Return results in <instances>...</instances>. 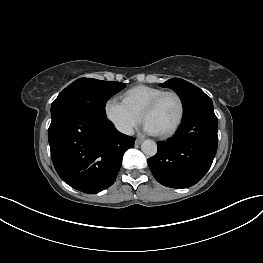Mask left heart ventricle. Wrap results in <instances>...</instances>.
Listing matches in <instances>:
<instances>
[{"label": "left heart ventricle", "mask_w": 263, "mask_h": 263, "mask_svg": "<svg viewBox=\"0 0 263 263\" xmlns=\"http://www.w3.org/2000/svg\"><path fill=\"white\" fill-rule=\"evenodd\" d=\"M180 113L178 99L174 95L165 96L158 106L146 117L149 123L158 134L170 130L176 123Z\"/></svg>", "instance_id": "left-heart-ventricle-1"}]
</instances>
